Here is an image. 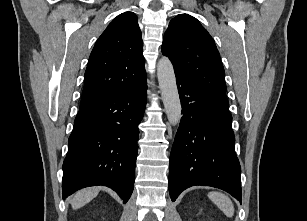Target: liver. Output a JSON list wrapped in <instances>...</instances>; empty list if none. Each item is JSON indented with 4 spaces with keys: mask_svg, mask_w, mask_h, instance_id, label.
Masks as SVG:
<instances>
[{
    "mask_svg": "<svg viewBox=\"0 0 307 221\" xmlns=\"http://www.w3.org/2000/svg\"><path fill=\"white\" fill-rule=\"evenodd\" d=\"M98 192V188H87L77 192L71 200L72 208L74 210L81 208L95 198Z\"/></svg>",
    "mask_w": 307,
    "mask_h": 221,
    "instance_id": "6515ba94",
    "label": "liver"
}]
</instances>
